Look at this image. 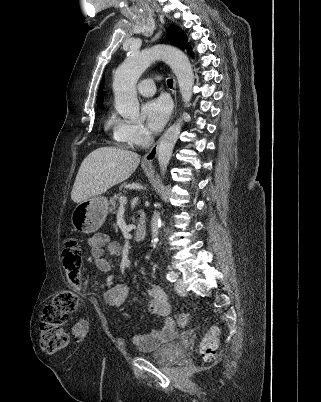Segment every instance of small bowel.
Returning <instances> with one entry per match:
<instances>
[{
    "label": "small bowel",
    "mask_w": 321,
    "mask_h": 402,
    "mask_svg": "<svg viewBox=\"0 0 321 402\" xmlns=\"http://www.w3.org/2000/svg\"><path fill=\"white\" fill-rule=\"evenodd\" d=\"M94 265L102 272H109L112 264L104 257L105 250L112 256H121L122 246L118 241H113L103 233L93 235L88 241ZM148 309L161 318L159 328L146 334H133L132 343L141 350H149L158 344L175 337V322L170 317V307L165 291L157 284H151L147 288ZM128 297V288L124 284H116L105 291L103 298L105 304L113 309H120ZM86 332L84 321H78L72 327V334L76 340H80Z\"/></svg>",
    "instance_id": "c3829d8e"
}]
</instances>
